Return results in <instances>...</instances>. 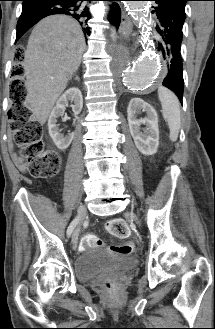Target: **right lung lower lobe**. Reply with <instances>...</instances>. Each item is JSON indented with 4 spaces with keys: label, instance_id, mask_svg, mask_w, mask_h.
<instances>
[{
    "label": "right lung lower lobe",
    "instance_id": "1",
    "mask_svg": "<svg viewBox=\"0 0 215 329\" xmlns=\"http://www.w3.org/2000/svg\"><path fill=\"white\" fill-rule=\"evenodd\" d=\"M22 13L17 23L16 42L33 25L44 17L53 14H66L75 18L83 27L84 34L90 35L88 20L91 14L84 1L93 0H22ZM118 1V0H107ZM121 19V10L118 4L114 2L111 6L108 20L116 27L119 26Z\"/></svg>",
    "mask_w": 215,
    "mask_h": 329
}]
</instances>
